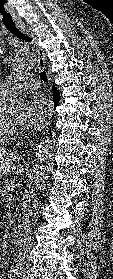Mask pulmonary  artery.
Instances as JSON below:
<instances>
[{"label": "pulmonary artery", "instance_id": "obj_1", "mask_svg": "<svg viewBox=\"0 0 113 279\" xmlns=\"http://www.w3.org/2000/svg\"><path fill=\"white\" fill-rule=\"evenodd\" d=\"M39 87L38 81L29 74L18 73L11 75L0 84V91L9 97L21 92L22 90H32Z\"/></svg>", "mask_w": 113, "mask_h": 279}]
</instances>
